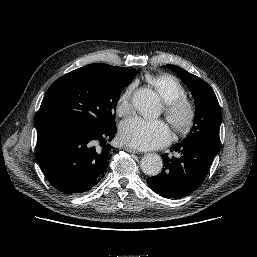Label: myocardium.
I'll use <instances>...</instances> for the list:
<instances>
[{
  "label": "myocardium",
  "instance_id": "obj_1",
  "mask_svg": "<svg viewBox=\"0 0 257 257\" xmlns=\"http://www.w3.org/2000/svg\"><path fill=\"white\" fill-rule=\"evenodd\" d=\"M163 112L174 133L184 134L193 125L196 108L188 98L180 97L170 102H164Z\"/></svg>",
  "mask_w": 257,
  "mask_h": 257
}]
</instances>
